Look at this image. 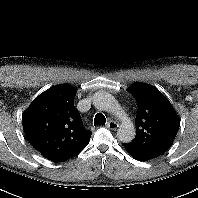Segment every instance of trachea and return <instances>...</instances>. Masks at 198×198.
<instances>
[{"mask_svg":"<svg viewBox=\"0 0 198 198\" xmlns=\"http://www.w3.org/2000/svg\"><path fill=\"white\" fill-rule=\"evenodd\" d=\"M106 118L102 113H97L94 118V125H105Z\"/></svg>","mask_w":198,"mask_h":198,"instance_id":"trachea-1","label":"trachea"}]
</instances>
